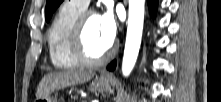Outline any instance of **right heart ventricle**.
Here are the masks:
<instances>
[{
    "label": "right heart ventricle",
    "mask_w": 221,
    "mask_h": 102,
    "mask_svg": "<svg viewBox=\"0 0 221 102\" xmlns=\"http://www.w3.org/2000/svg\"><path fill=\"white\" fill-rule=\"evenodd\" d=\"M85 11L72 1H66L56 13L47 32V44L52 64L59 69L79 66L71 50V34L79 16Z\"/></svg>",
    "instance_id": "1"
}]
</instances>
